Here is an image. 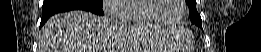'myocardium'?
<instances>
[{
  "mask_svg": "<svg viewBox=\"0 0 261 52\" xmlns=\"http://www.w3.org/2000/svg\"><path fill=\"white\" fill-rule=\"evenodd\" d=\"M178 3L181 7V14L176 20H173V21L165 20V19L159 17L157 12L162 6V4L159 2V0H149L147 3V9L150 10V12L152 13V16L158 23L174 25V24L179 23L183 19L184 15L186 13L185 1L178 0Z\"/></svg>",
  "mask_w": 261,
  "mask_h": 52,
  "instance_id": "1",
  "label": "myocardium"
}]
</instances>
